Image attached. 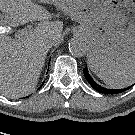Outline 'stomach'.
<instances>
[{"mask_svg": "<svg viewBox=\"0 0 135 135\" xmlns=\"http://www.w3.org/2000/svg\"><path fill=\"white\" fill-rule=\"evenodd\" d=\"M54 4L80 23L74 29L89 46L94 73L112 74L135 65L133 0H39Z\"/></svg>", "mask_w": 135, "mask_h": 135, "instance_id": "obj_1", "label": "stomach"}]
</instances>
